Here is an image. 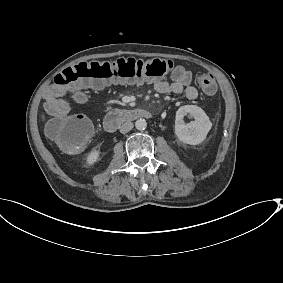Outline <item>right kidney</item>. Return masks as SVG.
<instances>
[{
	"instance_id": "ca27d5eb",
	"label": "right kidney",
	"mask_w": 283,
	"mask_h": 283,
	"mask_svg": "<svg viewBox=\"0 0 283 283\" xmlns=\"http://www.w3.org/2000/svg\"><path fill=\"white\" fill-rule=\"evenodd\" d=\"M100 153L101 152L99 150L90 151L88 155L85 157V160L83 162V167L87 169L93 167L94 164L98 161Z\"/></svg>"
}]
</instances>
